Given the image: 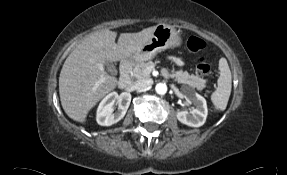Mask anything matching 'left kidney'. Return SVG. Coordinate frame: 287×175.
Returning <instances> with one entry per match:
<instances>
[{"mask_svg": "<svg viewBox=\"0 0 287 175\" xmlns=\"http://www.w3.org/2000/svg\"><path fill=\"white\" fill-rule=\"evenodd\" d=\"M186 100L190 104H194L190 112L188 111H178L177 119L188 126L191 127H200L202 126L207 118L208 109L207 103L204 97L198 93L189 92L185 96Z\"/></svg>", "mask_w": 287, "mask_h": 175, "instance_id": "5707ae66", "label": "left kidney"}]
</instances>
